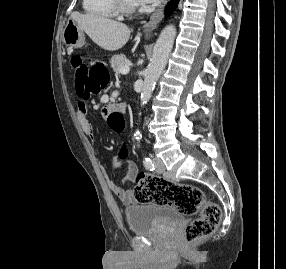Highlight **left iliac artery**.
Masks as SVG:
<instances>
[{"label": "left iliac artery", "instance_id": "44dca946", "mask_svg": "<svg viewBox=\"0 0 286 269\" xmlns=\"http://www.w3.org/2000/svg\"><path fill=\"white\" fill-rule=\"evenodd\" d=\"M143 163H144V166L146 169H148L150 171L155 170L154 164L149 157H145Z\"/></svg>", "mask_w": 286, "mask_h": 269}]
</instances>
